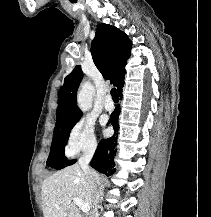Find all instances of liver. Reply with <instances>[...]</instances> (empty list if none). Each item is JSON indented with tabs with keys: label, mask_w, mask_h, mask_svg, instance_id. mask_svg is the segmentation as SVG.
Wrapping results in <instances>:
<instances>
[{
	"label": "liver",
	"mask_w": 211,
	"mask_h": 217,
	"mask_svg": "<svg viewBox=\"0 0 211 217\" xmlns=\"http://www.w3.org/2000/svg\"><path fill=\"white\" fill-rule=\"evenodd\" d=\"M96 186H102L100 175L91 170ZM44 217H82L73 198L92 208L90 181L80 165L74 164L44 179L41 187Z\"/></svg>",
	"instance_id": "liver-1"
}]
</instances>
